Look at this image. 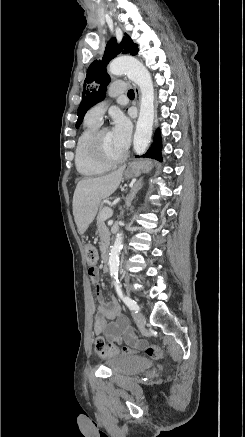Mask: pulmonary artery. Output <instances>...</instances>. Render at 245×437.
<instances>
[{"instance_id": "obj_1", "label": "pulmonary artery", "mask_w": 245, "mask_h": 437, "mask_svg": "<svg viewBox=\"0 0 245 437\" xmlns=\"http://www.w3.org/2000/svg\"><path fill=\"white\" fill-rule=\"evenodd\" d=\"M127 88L128 87L126 83L117 81L110 86L109 94L111 96H117L124 93L127 90ZM107 105H108L107 101H102L92 106L88 110L86 114V118L100 124L102 121V116L106 111Z\"/></svg>"}]
</instances>
